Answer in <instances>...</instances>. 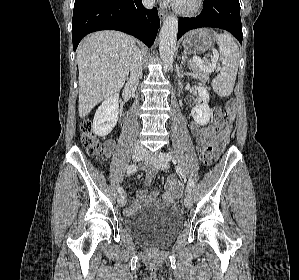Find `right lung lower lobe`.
I'll use <instances>...</instances> for the list:
<instances>
[{
    "mask_svg": "<svg viewBox=\"0 0 299 280\" xmlns=\"http://www.w3.org/2000/svg\"><path fill=\"white\" fill-rule=\"evenodd\" d=\"M160 27L156 8L147 10L141 0H75L72 19L73 49L94 31L119 30L150 47Z\"/></svg>",
    "mask_w": 299,
    "mask_h": 280,
    "instance_id": "1",
    "label": "right lung lower lobe"
}]
</instances>
